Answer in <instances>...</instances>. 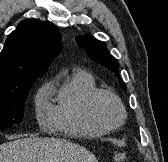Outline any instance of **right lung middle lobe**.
I'll return each instance as SVG.
<instances>
[{"mask_svg":"<svg viewBox=\"0 0 168 162\" xmlns=\"http://www.w3.org/2000/svg\"><path fill=\"white\" fill-rule=\"evenodd\" d=\"M33 80H24L9 87L0 88V130L18 124L23 119L24 103Z\"/></svg>","mask_w":168,"mask_h":162,"instance_id":"dd1d6c3e","label":"right lung middle lobe"}]
</instances>
